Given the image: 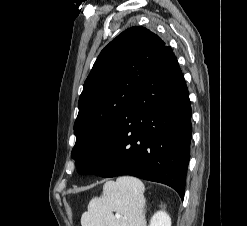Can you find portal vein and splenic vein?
I'll return each instance as SVG.
<instances>
[{
	"mask_svg": "<svg viewBox=\"0 0 247 226\" xmlns=\"http://www.w3.org/2000/svg\"><path fill=\"white\" fill-rule=\"evenodd\" d=\"M116 217H117V218H120V217H121V215H120V214H117V215H116Z\"/></svg>",
	"mask_w": 247,
	"mask_h": 226,
	"instance_id": "portal-vein-and-splenic-vein-1",
	"label": "portal vein and splenic vein"
}]
</instances>
